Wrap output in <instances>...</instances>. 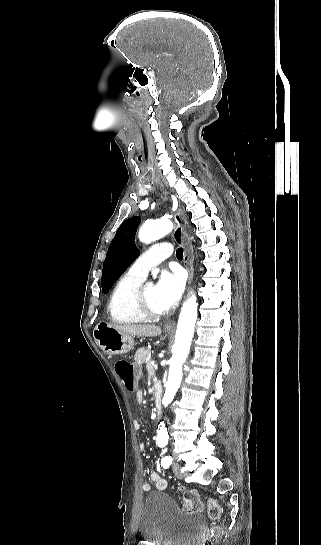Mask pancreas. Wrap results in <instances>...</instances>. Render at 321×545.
Segmentation results:
<instances>
[{
	"mask_svg": "<svg viewBox=\"0 0 321 545\" xmlns=\"http://www.w3.org/2000/svg\"><path fill=\"white\" fill-rule=\"evenodd\" d=\"M152 363H154V361H148L147 363L146 369H147L148 379H153V377H155L156 375L154 365H152Z\"/></svg>",
	"mask_w": 321,
	"mask_h": 545,
	"instance_id": "pancreas-1",
	"label": "pancreas"
}]
</instances>
